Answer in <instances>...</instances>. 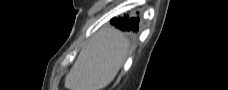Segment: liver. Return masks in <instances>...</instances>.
<instances>
[{"label": "liver", "mask_w": 228, "mask_h": 90, "mask_svg": "<svg viewBox=\"0 0 228 90\" xmlns=\"http://www.w3.org/2000/svg\"><path fill=\"white\" fill-rule=\"evenodd\" d=\"M127 38L114 28L97 32L81 50L65 77L68 90H102L122 67L128 53Z\"/></svg>", "instance_id": "6515ba94"}]
</instances>
